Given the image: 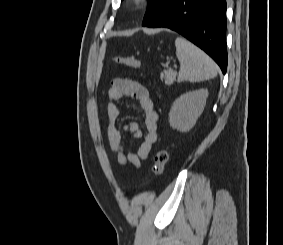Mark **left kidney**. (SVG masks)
<instances>
[{
  "label": "left kidney",
  "mask_w": 283,
  "mask_h": 245,
  "mask_svg": "<svg viewBox=\"0 0 283 245\" xmlns=\"http://www.w3.org/2000/svg\"><path fill=\"white\" fill-rule=\"evenodd\" d=\"M208 90L200 89L181 95L173 103L169 113V123L173 129L187 132L195 125L204 110Z\"/></svg>",
  "instance_id": "obj_1"
}]
</instances>
